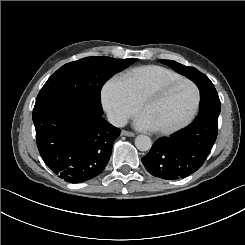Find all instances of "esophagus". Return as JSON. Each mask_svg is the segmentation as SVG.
<instances>
[{"label":"esophagus","instance_id":"obj_1","mask_svg":"<svg viewBox=\"0 0 245 245\" xmlns=\"http://www.w3.org/2000/svg\"><path fill=\"white\" fill-rule=\"evenodd\" d=\"M121 135L128 136V137H134L135 136V134L133 132L126 131V130H122Z\"/></svg>","mask_w":245,"mask_h":245}]
</instances>
